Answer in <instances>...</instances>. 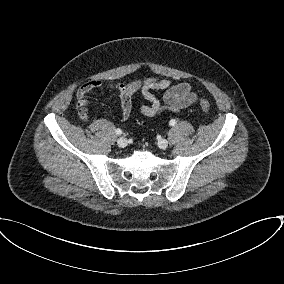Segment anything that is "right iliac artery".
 <instances>
[{
  "mask_svg": "<svg viewBox=\"0 0 284 284\" xmlns=\"http://www.w3.org/2000/svg\"><path fill=\"white\" fill-rule=\"evenodd\" d=\"M116 134L121 135L122 134V130L121 129H117L116 130Z\"/></svg>",
  "mask_w": 284,
  "mask_h": 284,
  "instance_id": "obj_1",
  "label": "right iliac artery"
}]
</instances>
